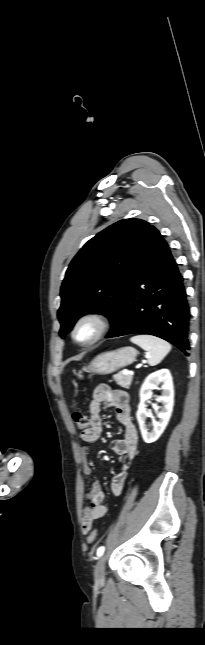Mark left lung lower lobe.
I'll use <instances>...</instances> for the list:
<instances>
[{"instance_id": "0a47b994", "label": "left lung lower lobe", "mask_w": 205, "mask_h": 645, "mask_svg": "<svg viewBox=\"0 0 205 645\" xmlns=\"http://www.w3.org/2000/svg\"><path fill=\"white\" fill-rule=\"evenodd\" d=\"M190 311L183 278L167 242L149 226L128 275L117 329L107 338L144 333L188 355Z\"/></svg>"}]
</instances>
